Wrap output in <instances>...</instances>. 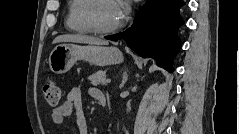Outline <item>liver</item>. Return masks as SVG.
<instances>
[{
	"label": "liver",
	"mask_w": 239,
	"mask_h": 134,
	"mask_svg": "<svg viewBox=\"0 0 239 134\" xmlns=\"http://www.w3.org/2000/svg\"><path fill=\"white\" fill-rule=\"evenodd\" d=\"M60 42H75V43H85L93 45H106L108 41L102 40L100 38H95L92 36L82 35V34H66L56 37L53 43Z\"/></svg>",
	"instance_id": "6515ba94"
}]
</instances>
